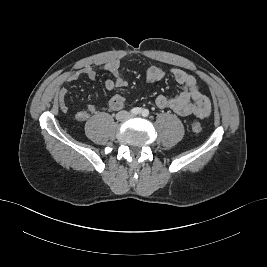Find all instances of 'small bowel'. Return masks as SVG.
<instances>
[{
  "label": "small bowel",
  "mask_w": 267,
  "mask_h": 267,
  "mask_svg": "<svg viewBox=\"0 0 267 267\" xmlns=\"http://www.w3.org/2000/svg\"><path fill=\"white\" fill-rule=\"evenodd\" d=\"M112 75V79L105 81V88L112 92L115 89L125 88L128 85L127 79L121 71L120 61L117 59L104 63L101 67ZM82 75L94 80L97 76V71L93 67H84L74 73L69 74L65 81L73 82L78 80ZM166 75L165 70L156 65H150L146 71V79L150 82L161 81ZM170 75L178 83L182 91L179 95L173 98L160 95L156 98L155 103L161 109H169L179 116H195L204 119L211 114L210 99L201 91L196 79L187 72L172 68ZM57 102L61 112L68 111L67 89L62 87L57 93ZM124 106V98L120 94H114L108 101L105 107H100L95 104H89L86 109L80 110L75 114L76 120L85 122L90 115L97 114L103 109L112 111L120 110Z\"/></svg>",
  "instance_id": "1"
}]
</instances>
